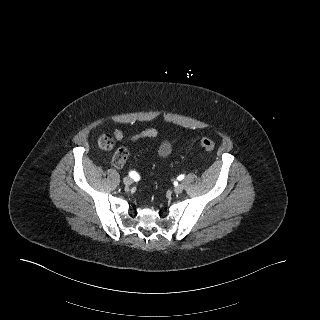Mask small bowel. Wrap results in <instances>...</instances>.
Masks as SVG:
<instances>
[{"instance_id": "small-bowel-1", "label": "small bowel", "mask_w": 320, "mask_h": 320, "mask_svg": "<svg viewBox=\"0 0 320 320\" xmlns=\"http://www.w3.org/2000/svg\"><path fill=\"white\" fill-rule=\"evenodd\" d=\"M113 134H114V137L117 141H124L125 140V135L122 130L115 129ZM157 135H158V132L156 129L147 128V129H144L136 134H133L132 136L129 137V140L136 141V140L143 139V138H156ZM174 143H175V140L163 141L157 147V154L162 158L168 157L172 152Z\"/></svg>"}]
</instances>
